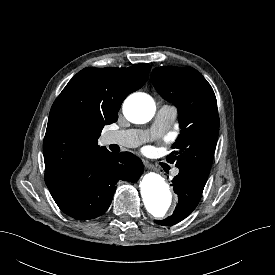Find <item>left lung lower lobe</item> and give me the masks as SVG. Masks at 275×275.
<instances>
[{"mask_svg": "<svg viewBox=\"0 0 275 275\" xmlns=\"http://www.w3.org/2000/svg\"><path fill=\"white\" fill-rule=\"evenodd\" d=\"M208 175L198 168H180L179 174L172 180L174 192L178 195V205L170 217L155 223L172 226L191 214L199 203Z\"/></svg>", "mask_w": 275, "mask_h": 275, "instance_id": "1", "label": "left lung lower lobe"}]
</instances>
